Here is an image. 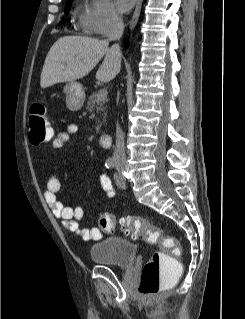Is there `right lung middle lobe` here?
<instances>
[{"label":"right lung middle lobe","mask_w":245,"mask_h":319,"mask_svg":"<svg viewBox=\"0 0 245 319\" xmlns=\"http://www.w3.org/2000/svg\"><path fill=\"white\" fill-rule=\"evenodd\" d=\"M72 1H73V0H67V5H66L65 12L68 10V8H69V6H70V4H71Z\"/></svg>","instance_id":"1"}]
</instances>
